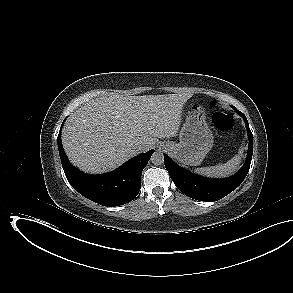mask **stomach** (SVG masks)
Segmentation results:
<instances>
[{
  "instance_id": "obj_1",
  "label": "stomach",
  "mask_w": 293,
  "mask_h": 293,
  "mask_svg": "<svg viewBox=\"0 0 293 293\" xmlns=\"http://www.w3.org/2000/svg\"><path fill=\"white\" fill-rule=\"evenodd\" d=\"M213 142L203 108L193 104L180 131L179 143L164 142L162 146L180 163L197 166L211 150Z\"/></svg>"
}]
</instances>
